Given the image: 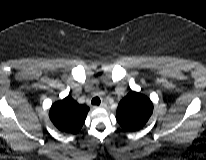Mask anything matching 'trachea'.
<instances>
[{
	"label": "trachea",
	"instance_id": "obj_1",
	"mask_svg": "<svg viewBox=\"0 0 206 160\" xmlns=\"http://www.w3.org/2000/svg\"><path fill=\"white\" fill-rule=\"evenodd\" d=\"M91 103H92L93 105H100L101 100H100L99 97L96 96V97H94V98L92 99Z\"/></svg>",
	"mask_w": 206,
	"mask_h": 160
}]
</instances>
